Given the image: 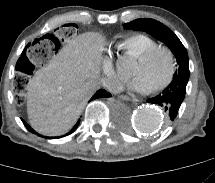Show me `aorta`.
I'll list each match as a JSON object with an SVG mask.
<instances>
[{
    "label": "aorta",
    "instance_id": "aorta-1",
    "mask_svg": "<svg viewBox=\"0 0 215 183\" xmlns=\"http://www.w3.org/2000/svg\"><path fill=\"white\" fill-rule=\"evenodd\" d=\"M130 65L131 63L128 59L120 60L118 63L120 69H127ZM133 121L137 130L145 133H153L161 128L164 115L159 108L145 106L137 110Z\"/></svg>",
    "mask_w": 215,
    "mask_h": 183
}]
</instances>
